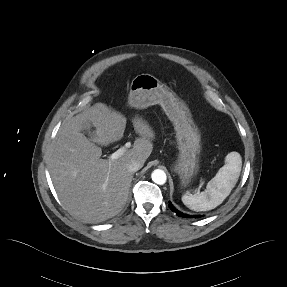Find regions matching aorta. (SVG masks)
I'll use <instances>...</instances> for the list:
<instances>
[{"label": "aorta", "instance_id": "1", "mask_svg": "<svg viewBox=\"0 0 287 287\" xmlns=\"http://www.w3.org/2000/svg\"><path fill=\"white\" fill-rule=\"evenodd\" d=\"M151 178H152L153 182L158 184V185L165 184V182L167 180L166 173L161 169L154 170L151 174Z\"/></svg>", "mask_w": 287, "mask_h": 287}]
</instances>
